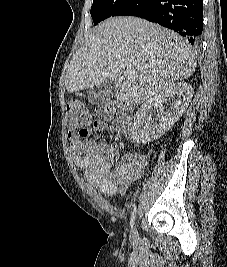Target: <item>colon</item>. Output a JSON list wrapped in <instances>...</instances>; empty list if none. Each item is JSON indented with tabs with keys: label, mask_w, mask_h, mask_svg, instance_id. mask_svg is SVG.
Instances as JSON below:
<instances>
[{
	"label": "colon",
	"mask_w": 227,
	"mask_h": 267,
	"mask_svg": "<svg viewBox=\"0 0 227 267\" xmlns=\"http://www.w3.org/2000/svg\"><path fill=\"white\" fill-rule=\"evenodd\" d=\"M98 113L105 119L110 120L118 114V120L124 123L126 114L121 110L120 105L113 101L98 109ZM66 116L68 123L73 127H81L90 122L91 116L88 109L78 101H70L67 104Z\"/></svg>",
	"instance_id": "5ec220e1"
}]
</instances>
